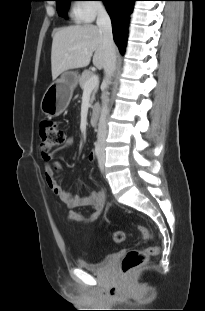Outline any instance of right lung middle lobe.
Returning <instances> with one entry per match:
<instances>
[{
    "label": "right lung middle lobe",
    "mask_w": 205,
    "mask_h": 311,
    "mask_svg": "<svg viewBox=\"0 0 205 311\" xmlns=\"http://www.w3.org/2000/svg\"><path fill=\"white\" fill-rule=\"evenodd\" d=\"M58 10V14L64 18H67V9L69 7L70 1L73 0H55Z\"/></svg>",
    "instance_id": "right-lung-middle-lobe-1"
}]
</instances>
